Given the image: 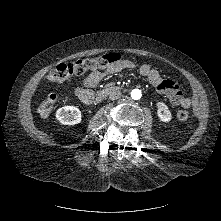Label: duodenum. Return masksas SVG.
<instances>
[{"mask_svg": "<svg viewBox=\"0 0 221 221\" xmlns=\"http://www.w3.org/2000/svg\"><path fill=\"white\" fill-rule=\"evenodd\" d=\"M111 89H103V90H100L96 96H93L89 102H92L93 100H96V101H101L102 99H104L109 93H110ZM87 102V103H89Z\"/></svg>", "mask_w": 221, "mask_h": 221, "instance_id": "1", "label": "duodenum"}]
</instances>
